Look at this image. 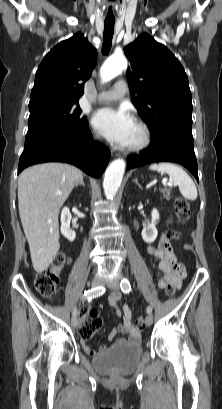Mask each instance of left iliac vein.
<instances>
[{"instance_id": "1", "label": "left iliac vein", "mask_w": 222, "mask_h": 409, "mask_svg": "<svg viewBox=\"0 0 222 409\" xmlns=\"http://www.w3.org/2000/svg\"><path fill=\"white\" fill-rule=\"evenodd\" d=\"M107 286L114 290V291H118L119 290V280L118 279H111L107 281ZM145 323L147 326H151L153 323V317L152 315H147L145 318Z\"/></svg>"}]
</instances>
